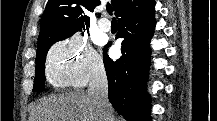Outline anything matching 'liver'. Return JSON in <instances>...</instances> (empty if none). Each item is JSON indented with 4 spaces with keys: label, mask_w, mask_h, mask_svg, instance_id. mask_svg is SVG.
I'll use <instances>...</instances> for the list:
<instances>
[{
    "label": "liver",
    "mask_w": 217,
    "mask_h": 121,
    "mask_svg": "<svg viewBox=\"0 0 217 121\" xmlns=\"http://www.w3.org/2000/svg\"><path fill=\"white\" fill-rule=\"evenodd\" d=\"M30 121H102L101 113L88 92H71L45 98Z\"/></svg>",
    "instance_id": "6515ba94"
}]
</instances>
